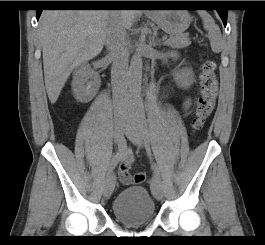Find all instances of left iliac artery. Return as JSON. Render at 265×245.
Instances as JSON below:
<instances>
[{"instance_id":"1","label":"left iliac artery","mask_w":265,"mask_h":245,"mask_svg":"<svg viewBox=\"0 0 265 245\" xmlns=\"http://www.w3.org/2000/svg\"><path fill=\"white\" fill-rule=\"evenodd\" d=\"M136 118H137V120L141 126V129H142L146 139L149 142H152L151 134H150L148 126H147V119H146V115L144 112L143 104L137 105ZM153 170H154V175L157 176L158 178H160L159 168L156 164H154ZM151 187H152V180H151Z\"/></svg>"}]
</instances>
